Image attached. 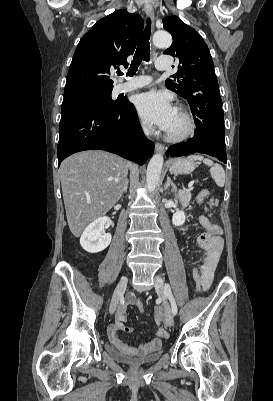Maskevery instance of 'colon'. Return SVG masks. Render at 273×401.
<instances>
[{"instance_id":"obj_1","label":"colon","mask_w":273,"mask_h":401,"mask_svg":"<svg viewBox=\"0 0 273 401\" xmlns=\"http://www.w3.org/2000/svg\"><path fill=\"white\" fill-rule=\"evenodd\" d=\"M211 204L214 206V205H216V201H214V200H212L211 201ZM220 231H221V229H220V227L219 226H214V227H210L209 228V233H205L204 234V239L205 240H210L211 239V236L213 237V238H218L219 236H220ZM136 308H137V310H138V312L139 313H145L146 312V307L144 306V302H143V298L142 297H137L136 298Z\"/></svg>"}]
</instances>
